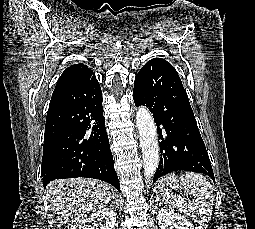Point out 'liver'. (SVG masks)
<instances>
[{
	"instance_id": "6515ba94",
	"label": "liver",
	"mask_w": 255,
	"mask_h": 229,
	"mask_svg": "<svg viewBox=\"0 0 255 229\" xmlns=\"http://www.w3.org/2000/svg\"><path fill=\"white\" fill-rule=\"evenodd\" d=\"M46 196L50 202V210L63 219L69 229H75L89 213L110 204L114 191L106 182L75 178L50 182Z\"/></svg>"
}]
</instances>
